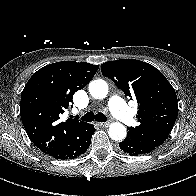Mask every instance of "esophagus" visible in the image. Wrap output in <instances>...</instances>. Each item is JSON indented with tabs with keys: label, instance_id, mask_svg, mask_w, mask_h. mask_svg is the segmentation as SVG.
I'll list each match as a JSON object with an SVG mask.
<instances>
[{
	"label": "esophagus",
	"instance_id": "1",
	"mask_svg": "<svg viewBox=\"0 0 196 196\" xmlns=\"http://www.w3.org/2000/svg\"><path fill=\"white\" fill-rule=\"evenodd\" d=\"M100 126H108L110 123L109 122H101L98 123Z\"/></svg>",
	"mask_w": 196,
	"mask_h": 196
}]
</instances>
